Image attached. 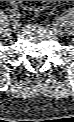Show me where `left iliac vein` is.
Here are the masks:
<instances>
[{"label": "left iliac vein", "mask_w": 74, "mask_h": 122, "mask_svg": "<svg viewBox=\"0 0 74 122\" xmlns=\"http://www.w3.org/2000/svg\"><path fill=\"white\" fill-rule=\"evenodd\" d=\"M59 22H61V21H58L57 23H59ZM50 30L53 32V33H55V34H62V29H61V27H60V25H56V24H54V25H52V26H50Z\"/></svg>", "instance_id": "left-iliac-vein-1"}]
</instances>
